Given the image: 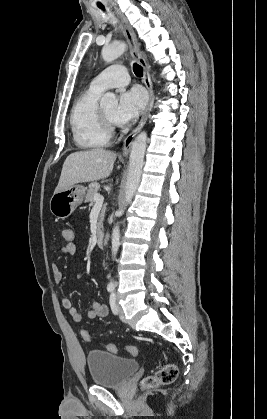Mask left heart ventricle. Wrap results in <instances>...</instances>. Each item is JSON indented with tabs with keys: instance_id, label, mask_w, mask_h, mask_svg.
<instances>
[{
	"instance_id": "left-heart-ventricle-1",
	"label": "left heart ventricle",
	"mask_w": 267,
	"mask_h": 419,
	"mask_svg": "<svg viewBox=\"0 0 267 419\" xmlns=\"http://www.w3.org/2000/svg\"><path fill=\"white\" fill-rule=\"evenodd\" d=\"M103 110L105 111V113L107 114V116L115 122V114H116V110H117V105L116 104H112L110 106H107L105 108H103Z\"/></svg>"
}]
</instances>
